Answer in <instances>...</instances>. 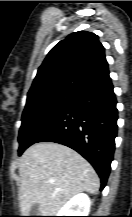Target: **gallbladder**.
Here are the masks:
<instances>
[{"mask_svg": "<svg viewBox=\"0 0 132 217\" xmlns=\"http://www.w3.org/2000/svg\"><path fill=\"white\" fill-rule=\"evenodd\" d=\"M38 214V204H33L30 210V216H37Z\"/></svg>", "mask_w": 132, "mask_h": 217, "instance_id": "gallbladder-1", "label": "gallbladder"}]
</instances>
